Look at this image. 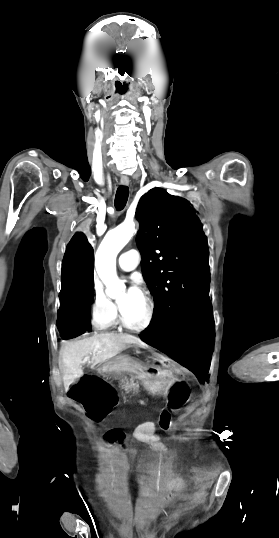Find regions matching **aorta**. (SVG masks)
Wrapping results in <instances>:
<instances>
[{
  "instance_id": "obj_1",
  "label": "aorta",
  "mask_w": 279,
  "mask_h": 538,
  "mask_svg": "<svg viewBox=\"0 0 279 538\" xmlns=\"http://www.w3.org/2000/svg\"><path fill=\"white\" fill-rule=\"evenodd\" d=\"M134 222H124L110 230L101 242L96 255V271L106 286V294L110 298L123 296L126 286L116 273V257L123 247L134 236Z\"/></svg>"
}]
</instances>
